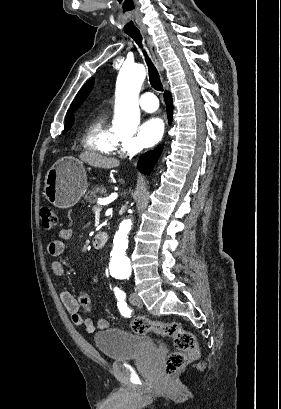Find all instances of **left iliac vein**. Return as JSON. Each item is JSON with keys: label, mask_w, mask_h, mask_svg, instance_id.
<instances>
[{"label": "left iliac vein", "mask_w": 281, "mask_h": 409, "mask_svg": "<svg viewBox=\"0 0 281 409\" xmlns=\"http://www.w3.org/2000/svg\"><path fill=\"white\" fill-rule=\"evenodd\" d=\"M130 302L133 305H136V306H141L142 305V301H141L140 297L138 296V294L136 292L131 293Z\"/></svg>", "instance_id": "1"}]
</instances>
